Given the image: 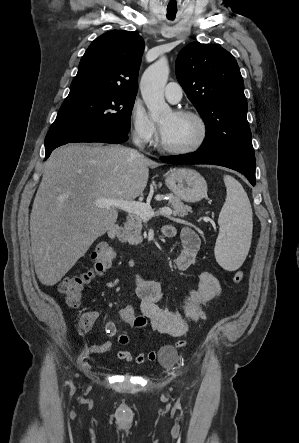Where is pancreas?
Returning a JSON list of instances; mask_svg holds the SVG:
<instances>
[{
	"label": "pancreas",
	"instance_id": "pancreas-1",
	"mask_svg": "<svg viewBox=\"0 0 299 443\" xmlns=\"http://www.w3.org/2000/svg\"><path fill=\"white\" fill-rule=\"evenodd\" d=\"M169 203L173 208V215L178 217H185L189 212H192L189 206H185L180 198L169 195ZM143 219L136 214H129L127 221L124 224L123 232L119 235L121 242H128L130 245H138L143 241L141 236Z\"/></svg>",
	"mask_w": 299,
	"mask_h": 443
}]
</instances>
